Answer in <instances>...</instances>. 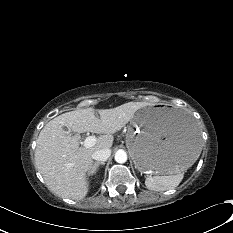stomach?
Instances as JSON below:
<instances>
[{
	"label": "stomach",
	"mask_w": 233,
	"mask_h": 233,
	"mask_svg": "<svg viewBox=\"0 0 233 233\" xmlns=\"http://www.w3.org/2000/svg\"><path fill=\"white\" fill-rule=\"evenodd\" d=\"M126 145L140 171L158 174L188 168L201 150L200 133L190 115L167 106L138 110L130 121Z\"/></svg>",
	"instance_id": "1"
}]
</instances>
